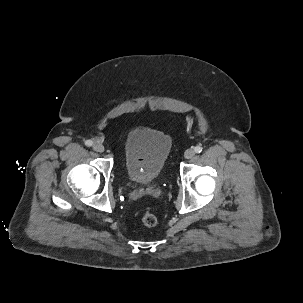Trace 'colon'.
Wrapping results in <instances>:
<instances>
[{
  "instance_id": "5ec220e1",
  "label": "colon",
  "mask_w": 303,
  "mask_h": 303,
  "mask_svg": "<svg viewBox=\"0 0 303 303\" xmlns=\"http://www.w3.org/2000/svg\"><path fill=\"white\" fill-rule=\"evenodd\" d=\"M141 219H142V223L147 227H154L158 223V220H157L156 216L153 213L149 212V211H145L142 214Z\"/></svg>"
}]
</instances>
